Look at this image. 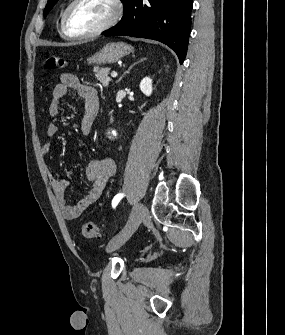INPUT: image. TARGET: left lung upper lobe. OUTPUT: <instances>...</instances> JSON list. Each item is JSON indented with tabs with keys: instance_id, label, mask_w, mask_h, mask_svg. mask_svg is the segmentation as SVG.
Listing matches in <instances>:
<instances>
[{
	"instance_id": "5c2ea615",
	"label": "left lung upper lobe",
	"mask_w": 285,
	"mask_h": 335,
	"mask_svg": "<svg viewBox=\"0 0 285 335\" xmlns=\"http://www.w3.org/2000/svg\"><path fill=\"white\" fill-rule=\"evenodd\" d=\"M57 1L58 0H48V3H47L46 8L44 10V17H46L47 13L51 10V8L55 5V3ZM121 1H124V0H121Z\"/></svg>"
}]
</instances>
